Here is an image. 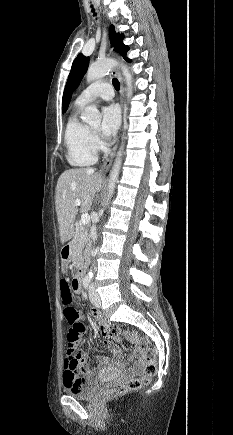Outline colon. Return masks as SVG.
Here are the masks:
<instances>
[{
    "label": "colon",
    "mask_w": 233,
    "mask_h": 435,
    "mask_svg": "<svg viewBox=\"0 0 233 435\" xmlns=\"http://www.w3.org/2000/svg\"><path fill=\"white\" fill-rule=\"evenodd\" d=\"M64 301L67 304V307L64 310V316L68 323H73L78 317V312L72 305L73 300L71 294L65 297ZM110 334L116 341H121L122 332L119 327L113 326L110 329ZM124 335L126 340L129 342H135L138 340V337L134 331H126ZM139 346L145 348V345L142 342H139ZM65 351L69 355H75V345L71 344V342H67ZM144 357L146 361V366L144 368L143 374L139 378H130L126 379L123 382H117L107 385L101 392L102 398L107 400L113 399L118 396L136 391L140 389L143 385L149 384L156 373L155 349L149 347L145 348ZM76 383L79 384V380H76Z\"/></svg>",
    "instance_id": "5ec220e1"
}]
</instances>
